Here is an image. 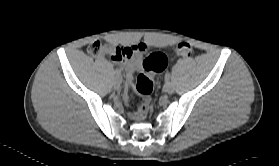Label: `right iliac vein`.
I'll return each instance as SVG.
<instances>
[{"instance_id":"right-iliac-vein-1","label":"right iliac vein","mask_w":279,"mask_h":166,"mask_svg":"<svg viewBox=\"0 0 279 166\" xmlns=\"http://www.w3.org/2000/svg\"><path fill=\"white\" fill-rule=\"evenodd\" d=\"M120 86H121V78L116 77L114 80V88L118 90L120 88Z\"/></svg>"}]
</instances>
